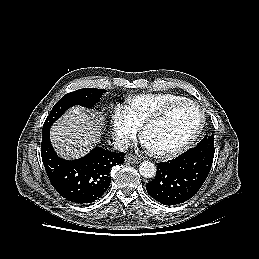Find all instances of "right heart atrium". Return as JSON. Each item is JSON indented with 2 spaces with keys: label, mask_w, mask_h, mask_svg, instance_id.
I'll list each match as a JSON object with an SVG mask.
<instances>
[{
  "label": "right heart atrium",
  "mask_w": 259,
  "mask_h": 259,
  "mask_svg": "<svg viewBox=\"0 0 259 259\" xmlns=\"http://www.w3.org/2000/svg\"><path fill=\"white\" fill-rule=\"evenodd\" d=\"M110 122L114 139L119 146L127 147L136 138L138 128L130 120L125 107H115Z\"/></svg>",
  "instance_id": "d8ad5b80"
}]
</instances>
